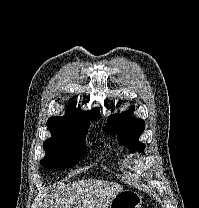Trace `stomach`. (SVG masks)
I'll use <instances>...</instances> for the list:
<instances>
[{"label": "stomach", "instance_id": "obj_1", "mask_svg": "<svg viewBox=\"0 0 199 208\" xmlns=\"http://www.w3.org/2000/svg\"><path fill=\"white\" fill-rule=\"evenodd\" d=\"M142 197L133 190H122L114 197L108 208H141Z\"/></svg>", "mask_w": 199, "mask_h": 208}]
</instances>
